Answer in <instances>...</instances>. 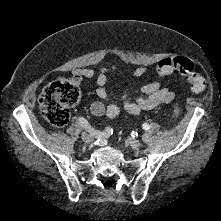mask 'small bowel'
<instances>
[{
	"instance_id": "obj_1",
	"label": "small bowel",
	"mask_w": 221,
	"mask_h": 221,
	"mask_svg": "<svg viewBox=\"0 0 221 221\" xmlns=\"http://www.w3.org/2000/svg\"><path fill=\"white\" fill-rule=\"evenodd\" d=\"M118 68L117 64L101 66L97 70L91 68H80L72 71V80L79 85L83 79H93L97 84V95L102 100L91 104L90 110L96 116L105 115L115 118L120 113V106L111 101L110 94L105 85L107 74ZM146 66L136 68L132 75L136 78L147 72ZM140 95L130 96L128 93L121 95L122 107L131 115H137L143 111L154 109L160 105L167 104L173 99V92L164 87L159 81H154L140 87Z\"/></svg>"
}]
</instances>
